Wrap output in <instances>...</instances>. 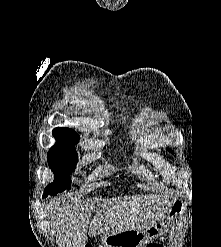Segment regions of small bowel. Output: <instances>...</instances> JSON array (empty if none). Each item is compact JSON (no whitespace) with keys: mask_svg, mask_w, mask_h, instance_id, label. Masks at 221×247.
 I'll list each match as a JSON object with an SVG mask.
<instances>
[{"mask_svg":"<svg viewBox=\"0 0 221 247\" xmlns=\"http://www.w3.org/2000/svg\"><path fill=\"white\" fill-rule=\"evenodd\" d=\"M149 245H151V247H163L161 244H149Z\"/></svg>","mask_w":221,"mask_h":247,"instance_id":"small-bowel-1","label":"small bowel"}]
</instances>
